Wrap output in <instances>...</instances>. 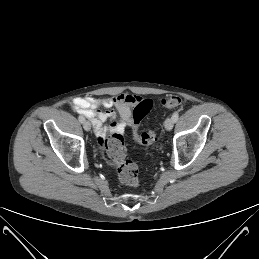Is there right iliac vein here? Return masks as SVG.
I'll return each instance as SVG.
<instances>
[{"mask_svg": "<svg viewBox=\"0 0 259 259\" xmlns=\"http://www.w3.org/2000/svg\"><path fill=\"white\" fill-rule=\"evenodd\" d=\"M83 128L85 129V131H90L91 124L89 123V121H84L83 122Z\"/></svg>", "mask_w": 259, "mask_h": 259, "instance_id": "1", "label": "right iliac vein"}]
</instances>
